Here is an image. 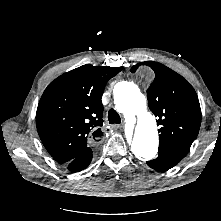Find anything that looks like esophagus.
Wrapping results in <instances>:
<instances>
[{"label": "esophagus", "instance_id": "obj_1", "mask_svg": "<svg viewBox=\"0 0 221 221\" xmlns=\"http://www.w3.org/2000/svg\"><path fill=\"white\" fill-rule=\"evenodd\" d=\"M113 127L118 128V129H121V128L124 127V125H122V124H118V125H114Z\"/></svg>", "mask_w": 221, "mask_h": 221}]
</instances>
